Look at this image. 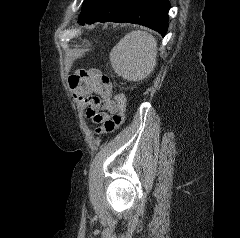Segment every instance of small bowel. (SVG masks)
<instances>
[{
  "instance_id": "1",
  "label": "small bowel",
  "mask_w": 240,
  "mask_h": 238,
  "mask_svg": "<svg viewBox=\"0 0 240 238\" xmlns=\"http://www.w3.org/2000/svg\"><path fill=\"white\" fill-rule=\"evenodd\" d=\"M98 70H77L69 78V87L78 102L85 105L86 116L94 123H103L118 112L112 93L100 82Z\"/></svg>"
}]
</instances>
